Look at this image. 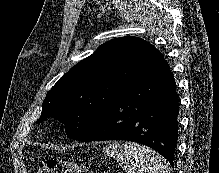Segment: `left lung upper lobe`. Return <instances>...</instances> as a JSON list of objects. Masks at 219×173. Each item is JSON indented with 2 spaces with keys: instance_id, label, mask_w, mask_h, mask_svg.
Instances as JSON below:
<instances>
[{
  "instance_id": "obj_1",
  "label": "left lung upper lobe",
  "mask_w": 219,
  "mask_h": 173,
  "mask_svg": "<svg viewBox=\"0 0 219 173\" xmlns=\"http://www.w3.org/2000/svg\"><path fill=\"white\" fill-rule=\"evenodd\" d=\"M136 37L116 38L72 67L47 93L37 121L57 118L69 138L77 140L98 116L139 78L156 51Z\"/></svg>"
}]
</instances>
